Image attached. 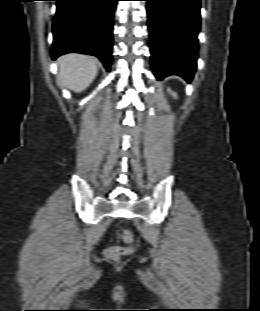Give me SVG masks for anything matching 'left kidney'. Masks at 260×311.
Listing matches in <instances>:
<instances>
[{"label": "left kidney", "instance_id": "left-kidney-1", "mask_svg": "<svg viewBox=\"0 0 260 311\" xmlns=\"http://www.w3.org/2000/svg\"><path fill=\"white\" fill-rule=\"evenodd\" d=\"M169 91H170V90H169ZM170 92H171V91H170ZM171 94H172L175 98L177 97L175 93L171 92Z\"/></svg>", "mask_w": 260, "mask_h": 311}]
</instances>
